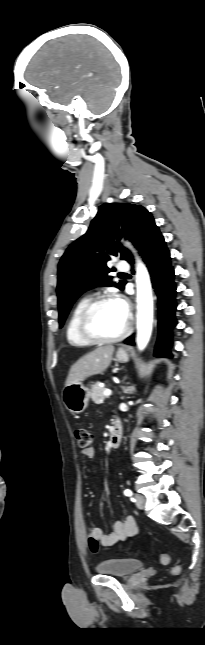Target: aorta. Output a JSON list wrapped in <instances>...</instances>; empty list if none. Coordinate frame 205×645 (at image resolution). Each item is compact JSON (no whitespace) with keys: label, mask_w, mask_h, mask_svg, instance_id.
<instances>
[{"label":"aorta","mask_w":205,"mask_h":645,"mask_svg":"<svg viewBox=\"0 0 205 645\" xmlns=\"http://www.w3.org/2000/svg\"><path fill=\"white\" fill-rule=\"evenodd\" d=\"M137 346L143 350L151 336L153 324V297L150 276L145 265L137 258Z\"/></svg>","instance_id":"aorta-1"}]
</instances>
